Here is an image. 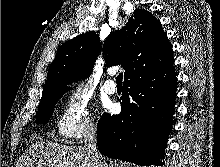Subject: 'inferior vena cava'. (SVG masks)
I'll use <instances>...</instances> for the list:
<instances>
[{"label": "inferior vena cava", "instance_id": "obj_1", "mask_svg": "<svg viewBox=\"0 0 220 167\" xmlns=\"http://www.w3.org/2000/svg\"><path fill=\"white\" fill-rule=\"evenodd\" d=\"M84 148L91 155L95 167H108L102 155L97 150L96 128L93 125L87 127L84 135Z\"/></svg>", "mask_w": 220, "mask_h": 167}]
</instances>
